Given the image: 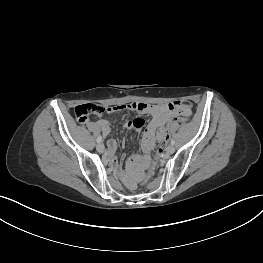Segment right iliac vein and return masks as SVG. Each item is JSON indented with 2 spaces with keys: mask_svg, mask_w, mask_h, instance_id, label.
<instances>
[{
  "mask_svg": "<svg viewBox=\"0 0 263 263\" xmlns=\"http://www.w3.org/2000/svg\"><path fill=\"white\" fill-rule=\"evenodd\" d=\"M96 148H97V151L100 153L104 152V150H105L103 143H98Z\"/></svg>",
  "mask_w": 263,
  "mask_h": 263,
  "instance_id": "63e3f726",
  "label": "right iliac vein"
}]
</instances>
